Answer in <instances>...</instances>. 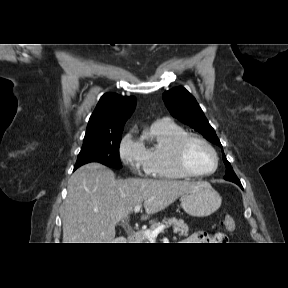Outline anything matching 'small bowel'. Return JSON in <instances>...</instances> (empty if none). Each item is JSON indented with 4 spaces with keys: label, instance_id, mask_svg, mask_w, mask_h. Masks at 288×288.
Wrapping results in <instances>:
<instances>
[{
    "label": "small bowel",
    "instance_id": "small-bowel-1",
    "mask_svg": "<svg viewBox=\"0 0 288 288\" xmlns=\"http://www.w3.org/2000/svg\"><path fill=\"white\" fill-rule=\"evenodd\" d=\"M188 241L190 243H209V242H216V243H223L226 241V237L222 233H215L212 236H209L204 231H198L193 233L189 238Z\"/></svg>",
    "mask_w": 288,
    "mask_h": 288
}]
</instances>
